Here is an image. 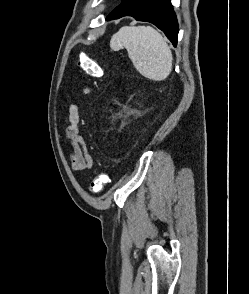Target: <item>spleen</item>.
<instances>
[{
  "mask_svg": "<svg viewBox=\"0 0 249 294\" xmlns=\"http://www.w3.org/2000/svg\"><path fill=\"white\" fill-rule=\"evenodd\" d=\"M114 51L125 47L137 71L144 77L161 81L172 70V52L166 39L150 26H124L110 41Z\"/></svg>",
  "mask_w": 249,
  "mask_h": 294,
  "instance_id": "obj_1",
  "label": "spleen"
}]
</instances>
